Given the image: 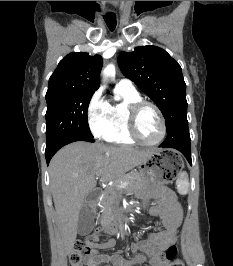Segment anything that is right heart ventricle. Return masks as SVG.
Returning <instances> with one entry per match:
<instances>
[{
	"mask_svg": "<svg viewBox=\"0 0 233 266\" xmlns=\"http://www.w3.org/2000/svg\"><path fill=\"white\" fill-rule=\"evenodd\" d=\"M115 93L121 98V101L109 106L111 129L104 139L113 144L132 145L135 141L128 132L126 110L130 103L142 98L136 90L129 91L116 87Z\"/></svg>",
	"mask_w": 233,
	"mask_h": 266,
	"instance_id": "1",
	"label": "right heart ventricle"
}]
</instances>
